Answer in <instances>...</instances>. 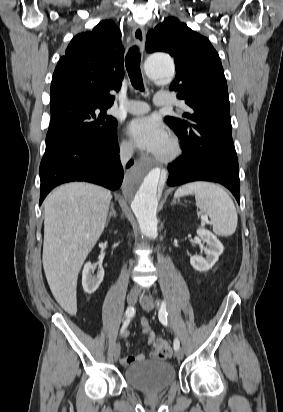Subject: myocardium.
<instances>
[{"label": "myocardium", "mask_w": 283, "mask_h": 412, "mask_svg": "<svg viewBox=\"0 0 283 412\" xmlns=\"http://www.w3.org/2000/svg\"><path fill=\"white\" fill-rule=\"evenodd\" d=\"M170 149L165 154H156L155 159L161 163H169L176 160L182 153V146L180 141L174 136L168 137Z\"/></svg>", "instance_id": "1"}]
</instances>
